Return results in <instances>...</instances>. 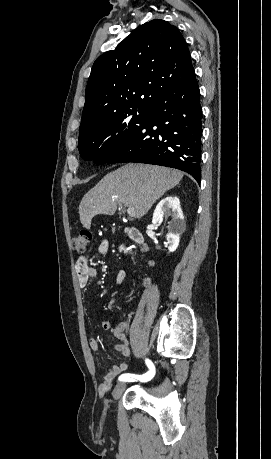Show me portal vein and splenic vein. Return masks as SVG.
Segmentation results:
<instances>
[{
    "instance_id": "portal-vein-and-splenic-vein-1",
    "label": "portal vein and splenic vein",
    "mask_w": 271,
    "mask_h": 459,
    "mask_svg": "<svg viewBox=\"0 0 271 459\" xmlns=\"http://www.w3.org/2000/svg\"><path fill=\"white\" fill-rule=\"evenodd\" d=\"M127 214H129V216H131V218H135L136 214H135V208H128V210H126Z\"/></svg>"
}]
</instances>
